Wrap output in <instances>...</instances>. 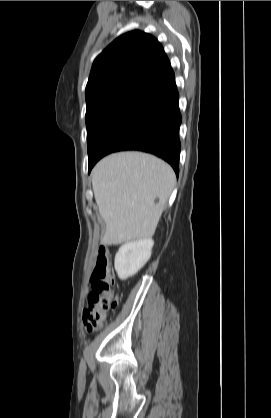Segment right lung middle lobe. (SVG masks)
I'll use <instances>...</instances> for the list:
<instances>
[{
	"label": "right lung middle lobe",
	"instance_id": "right-lung-middle-lobe-1",
	"mask_svg": "<svg viewBox=\"0 0 271 418\" xmlns=\"http://www.w3.org/2000/svg\"><path fill=\"white\" fill-rule=\"evenodd\" d=\"M151 104L135 96H119L87 106L89 165L95 161L102 148L118 130Z\"/></svg>",
	"mask_w": 271,
	"mask_h": 418
}]
</instances>
